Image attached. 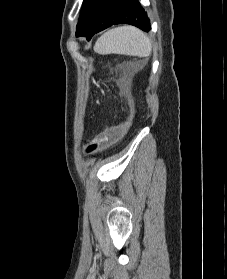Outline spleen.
I'll list each match as a JSON object with an SVG mask.
<instances>
[{"label": "spleen", "instance_id": "1", "mask_svg": "<svg viewBox=\"0 0 227 279\" xmlns=\"http://www.w3.org/2000/svg\"><path fill=\"white\" fill-rule=\"evenodd\" d=\"M151 49L149 38L133 26L111 29L104 33L94 45V51L102 55L123 54L148 57Z\"/></svg>", "mask_w": 227, "mask_h": 279}]
</instances>
